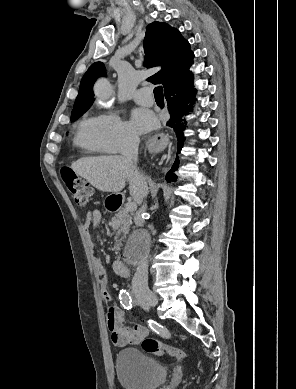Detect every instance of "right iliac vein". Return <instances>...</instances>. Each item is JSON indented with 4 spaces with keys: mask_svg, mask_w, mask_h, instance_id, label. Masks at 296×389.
Listing matches in <instances>:
<instances>
[{
    "mask_svg": "<svg viewBox=\"0 0 296 389\" xmlns=\"http://www.w3.org/2000/svg\"><path fill=\"white\" fill-rule=\"evenodd\" d=\"M142 303L145 305L155 306L158 303V299L154 294H150L142 299Z\"/></svg>",
    "mask_w": 296,
    "mask_h": 389,
    "instance_id": "63e3f726",
    "label": "right iliac vein"
}]
</instances>
